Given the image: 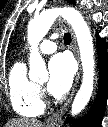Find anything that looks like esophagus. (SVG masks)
<instances>
[{"mask_svg":"<svg viewBox=\"0 0 108 127\" xmlns=\"http://www.w3.org/2000/svg\"><path fill=\"white\" fill-rule=\"evenodd\" d=\"M63 25H67L70 33H71V37H72V44H71V49L75 55L76 60L78 61L79 64V69L75 78V82H74V86L72 88L71 94L68 97V99L65 101V103L60 107L59 110H57L53 115H51L47 120H46V127H60L62 124V117L65 114V112L67 111L73 96L76 92V88L80 79V75H81V64H80V58H79V52H78V48H77V43H76V38L75 35L73 33L72 28L67 24L66 21L62 20L61 21Z\"/></svg>","mask_w":108,"mask_h":127,"instance_id":"esophagus-1","label":"esophagus"}]
</instances>
